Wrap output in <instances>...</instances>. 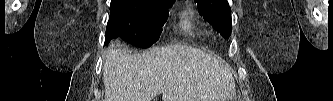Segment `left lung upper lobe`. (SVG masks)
<instances>
[{
    "label": "left lung upper lobe",
    "mask_w": 333,
    "mask_h": 101,
    "mask_svg": "<svg viewBox=\"0 0 333 101\" xmlns=\"http://www.w3.org/2000/svg\"><path fill=\"white\" fill-rule=\"evenodd\" d=\"M200 14L228 38L231 34V8L227 0H195Z\"/></svg>",
    "instance_id": "5c2ea615"
}]
</instances>
